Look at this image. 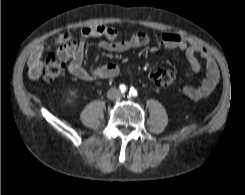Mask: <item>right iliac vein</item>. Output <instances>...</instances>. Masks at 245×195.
Instances as JSON below:
<instances>
[{
	"label": "right iliac vein",
	"mask_w": 245,
	"mask_h": 195,
	"mask_svg": "<svg viewBox=\"0 0 245 195\" xmlns=\"http://www.w3.org/2000/svg\"><path fill=\"white\" fill-rule=\"evenodd\" d=\"M112 95H114V93H113V92H111V93H110V96H112Z\"/></svg>",
	"instance_id": "right-iliac-vein-1"
}]
</instances>
